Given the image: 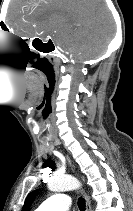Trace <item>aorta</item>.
Segmentation results:
<instances>
[{"label":"aorta","instance_id":"762f6f07","mask_svg":"<svg viewBox=\"0 0 133 211\" xmlns=\"http://www.w3.org/2000/svg\"><path fill=\"white\" fill-rule=\"evenodd\" d=\"M80 182L70 175H56L48 182V189L53 192H63L77 189Z\"/></svg>","mask_w":133,"mask_h":211}]
</instances>
